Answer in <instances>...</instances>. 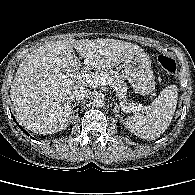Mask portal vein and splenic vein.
<instances>
[{
  "label": "portal vein and splenic vein",
  "instance_id": "18ae733b",
  "mask_svg": "<svg viewBox=\"0 0 195 195\" xmlns=\"http://www.w3.org/2000/svg\"><path fill=\"white\" fill-rule=\"evenodd\" d=\"M67 75L73 78L84 79L90 86L93 87H96L98 85H109L113 89V91H115L116 96L119 97L118 88L113 85L112 79L105 74H100V75L88 74L85 71H83L81 73H75V74L67 73ZM119 101H120L119 105L121 107V110L127 113L131 111L136 112L145 109V107L141 104H139L138 106H134L132 108H128L123 104V102L120 99Z\"/></svg>",
  "mask_w": 195,
  "mask_h": 195
}]
</instances>
